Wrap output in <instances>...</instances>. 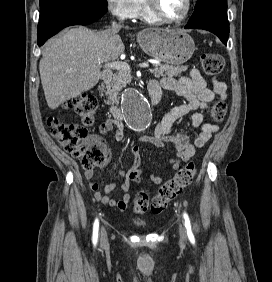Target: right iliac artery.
Segmentation results:
<instances>
[{
    "label": "right iliac artery",
    "instance_id": "right-iliac-artery-1",
    "mask_svg": "<svg viewBox=\"0 0 272 282\" xmlns=\"http://www.w3.org/2000/svg\"><path fill=\"white\" fill-rule=\"evenodd\" d=\"M98 228H99V222H98V219H96L94 222L93 237H92L94 245H96L97 240H98Z\"/></svg>",
    "mask_w": 272,
    "mask_h": 282
}]
</instances>
